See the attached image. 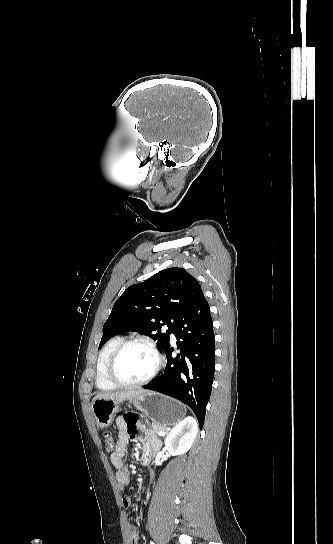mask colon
Returning <instances> with one entry per match:
<instances>
[{"label":"colon","instance_id":"colon-1","mask_svg":"<svg viewBox=\"0 0 333 544\" xmlns=\"http://www.w3.org/2000/svg\"><path fill=\"white\" fill-rule=\"evenodd\" d=\"M103 439H104V443H105V446H106L107 450H109V451L113 450L114 442H113V438H112V436L110 435L109 432H104Z\"/></svg>","mask_w":333,"mask_h":544}]
</instances>
